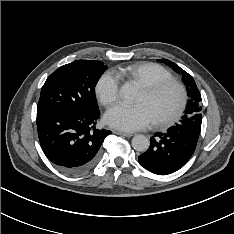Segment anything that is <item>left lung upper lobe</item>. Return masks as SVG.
<instances>
[{
    "label": "left lung upper lobe",
    "mask_w": 234,
    "mask_h": 234,
    "mask_svg": "<svg viewBox=\"0 0 234 234\" xmlns=\"http://www.w3.org/2000/svg\"><path fill=\"white\" fill-rule=\"evenodd\" d=\"M160 61L172 67L176 72L181 71L183 73V82L187 87L188 95L190 97L184 116L182 117V120L176 125L181 126L196 134H200L202 123V107L200 103L201 95L195 84L194 79L187 72L182 70L178 65L171 62L170 60L160 59Z\"/></svg>",
    "instance_id": "left-lung-upper-lobe-1"
}]
</instances>
